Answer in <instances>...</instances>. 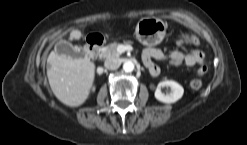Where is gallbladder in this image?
I'll return each mask as SVG.
<instances>
[{
    "label": "gallbladder",
    "mask_w": 247,
    "mask_h": 145,
    "mask_svg": "<svg viewBox=\"0 0 247 145\" xmlns=\"http://www.w3.org/2000/svg\"><path fill=\"white\" fill-rule=\"evenodd\" d=\"M55 51L57 54H65L73 59L82 58L85 56V51L82 48L73 46L71 43L61 40L56 43Z\"/></svg>",
    "instance_id": "gallbladder-1"
}]
</instances>
